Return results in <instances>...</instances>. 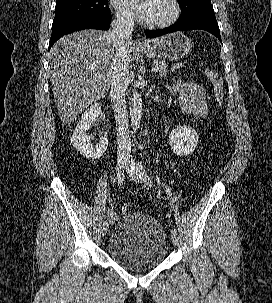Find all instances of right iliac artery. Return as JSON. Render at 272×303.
<instances>
[{"mask_svg":"<svg viewBox=\"0 0 272 303\" xmlns=\"http://www.w3.org/2000/svg\"><path fill=\"white\" fill-rule=\"evenodd\" d=\"M117 180H118V184L121 186L123 184V180H124V174L122 172L118 173ZM105 224H108V222L105 221L103 223V225H105Z\"/></svg>","mask_w":272,"mask_h":303,"instance_id":"obj_1","label":"right iliac artery"}]
</instances>
